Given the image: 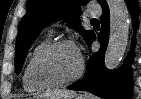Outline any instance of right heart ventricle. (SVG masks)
Segmentation results:
<instances>
[{
  "instance_id": "obj_1",
  "label": "right heart ventricle",
  "mask_w": 141,
  "mask_h": 99,
  "mask_svg": "<svg viewBox=\"0 0 141 99\" xmlns=\"http://www.w3.org/2000/svg\"><path fill=\"white\" fill-rule=\"evenodd\" d=\"M49 43H50L49 37L42 40L32 51L31 56L29 58V61L25 67L22 81H23L24 89L28 92H40V91H43L47 88V87H44V86H41V85L34 83V81L32 80V78L30 76V68H31L32 61L35 58V56L37 55V53Z\"/></svg>"
}]
</instances>
